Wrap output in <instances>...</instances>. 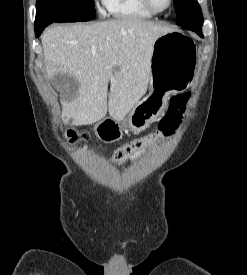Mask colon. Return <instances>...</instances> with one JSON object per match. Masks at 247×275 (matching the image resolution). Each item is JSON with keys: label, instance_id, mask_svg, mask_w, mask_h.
<instances>
[{"label": "colon", "instance_id": "5ec220e1", "mask_svg": "<svg viewBox=\"0 0 247 275\" xmlns=\"http://www.w3.org/2000/svg\"><path fill=\"white\" fill-rule=\"evenodd\" d=\"M188 99V94H179L172 97L165 115L159 122L157 131L119 146L114 152V160L123 161L136 151L174 134L182 121ZM68 136L72 141L83 137L74 130H69Z\"/></svg>", "mask_w": 247, "mask_h": 275}]
</instances>
